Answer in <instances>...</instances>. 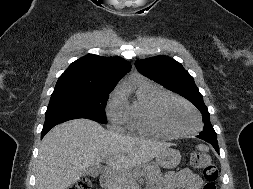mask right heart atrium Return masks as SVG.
<instances>
[{"mask_svg": "<svg viewBox=\"0 0 253 189\" xmlns=\"http://www.w3.org/2000/svg\"><path fill=\"white\" fill-rule=\"evenodd\" d=\"M126 107L124 92L121 89L114 90L106 104V114L109 121L117 126L126 124Z\"/></svg>", "mask_w": 253, "mask_h": 189, "instance_id": "d8ad5b80", "label": "right heart atrium"}]
</instances>
